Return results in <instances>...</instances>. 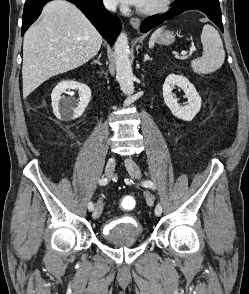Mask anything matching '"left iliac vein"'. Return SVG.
Masks as SVG:
<instances>
[{
	"label": "left iliac vein",
	"mask_w": 249,
	"mask_h": 294,
	"mask_svg": "<svg viewBox=\"0 0 249 294\" xmlns=\"http://www.w3.org/2000/svg\"><path fill=\"white\" fill-rule=\"evenodd\" d=\"M125 167L132 178L134 179L140 178L141 176L140 168L133 160L131 159L125 160ZM146 201L149 206H152L154 204V198L150 192L146 194Z\"/></svg>",
	"instance_id": "4c4485c4"
}]
</instances>
